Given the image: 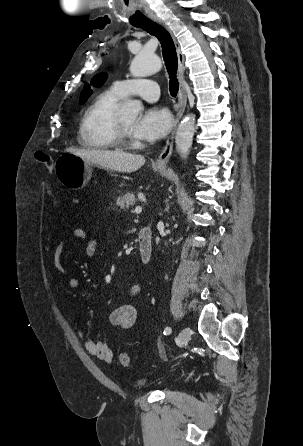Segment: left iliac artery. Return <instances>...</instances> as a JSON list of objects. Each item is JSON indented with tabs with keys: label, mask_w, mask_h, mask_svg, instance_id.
<instances>
[{
	"label": "left iliac artery",
	"mask_w": 303,
	"mask_h": 446,
	"mask_svg": "<svg viewBox=\"0 0 303 446\" xmlns=\"http://www.w3.org/2000/svg\"><path fill=\"white\" fill-rule=\"evenodd\" d=\"M171 332H172V329H171L170 327H166V328L164 329L163 334H164V335H169Z\"/></svg>",
	"instance_id": "obj_1"
}]
</instances>
